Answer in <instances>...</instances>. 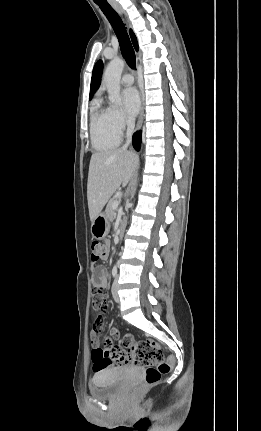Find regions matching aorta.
Listing matches in <instances>:
<instances>
[{
  "label": "aorta",
  "mask_w": 261,
  "mask_h": 431,
  "mask_svg": "<svg viewBox=\"0 0 261 431\" xmlns=\"http://www.w3.org/2000/svg\"><path fill=\"white\" fill-rule=\"evenodd\" d=\"M124 65L122 59L115 58L110 61L104 73L103 83L107 88L109 101L113 105H117L121 101L120 78Z\"/></svg>",
  "instance_id": "obj_1"
}]
</instances>
